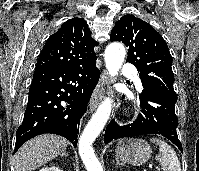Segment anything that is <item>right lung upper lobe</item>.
<instances>
[{
    "label": "right lung upper lobe",
    "mask_w": 199,
    "mask_h": 171,
    "mask_svg": "<svg viewBox=\"0 0 199 171\" xmlns=\"http://www.w3.org/2000/svg\"><path fill=\"white\" fill-rule=\"evenodd\" d=\"M91 31L85 20L72 18L62 24L45 43L36 68L71 67L96 59Z\"/></svg>",
    "instance_id": "cb5924a9"
}]
</instances>
